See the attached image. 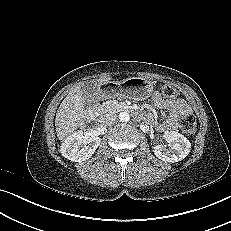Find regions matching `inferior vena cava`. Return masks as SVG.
<instances>
[{
	"instance_id": "obj_1",
	"label": "inferior vena cava",
	"mask_w": 231,
	"mask_h": 231,
	"mask_svg": "<svg viewBox=\"0 0 231 231\" xmlns=\"http://www.w3.org/2000/svg\"><path fill=\"white\" fill-rule=\"evenodd\" d=\"M117 119V116L114 114H106L101 118V123L105 126H110L113 124Z\"/></svg>"
}]
</instances>
